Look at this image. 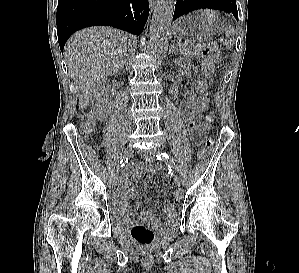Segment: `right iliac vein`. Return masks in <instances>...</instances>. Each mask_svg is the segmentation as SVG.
<instances>
[{"instance_id":"obj_1","label":"right iliac vein","mask_w":299,"mask_h":273,"mask_svg":"<svg viewBox=\"0 0 299 273\" xmlns=\"http://www.w3.org/2000/svg\"><path fill=\"white\" fill-rule=\"evenodd\" d=\"M133 154V147L131 145L127 146L121 155V160H125L126 158L130 157ZM118 175L119 171L117 170L114 174H112L110 179V186L111 188H115L118 183Z\"/></svg>"}]
</instances>
